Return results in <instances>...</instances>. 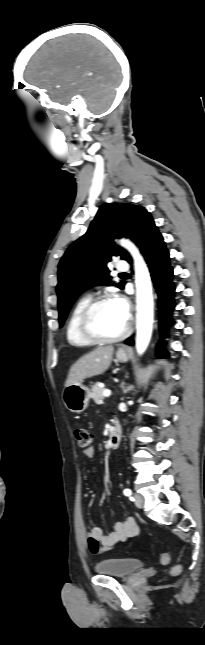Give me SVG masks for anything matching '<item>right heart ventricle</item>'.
Returning a JSON list of instances; mask_svg holds the SVG:
<instances>
[{"instance_id":"e07e8e85","label":"right heart ventricle","mask_w":205,"mask_h":645,"mask_svg":"<svg viewBox=\"0 0 205 645\" xmlns=\"http://www.w3.org/2000/svg\"><path fill=\"white\" fill-rule=\"evenodd\" d=\"M91 300L90 296L81 297L73 306L66 324V339L68 343L76 347H85L93 343L86 339L80 331V315L84 307Z\"/></svg>"}]
</instances>
